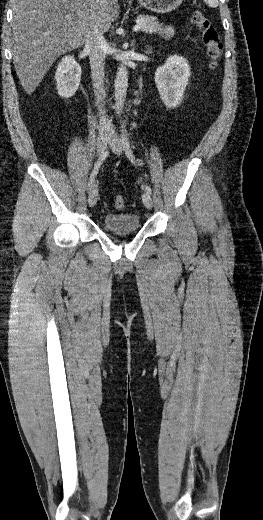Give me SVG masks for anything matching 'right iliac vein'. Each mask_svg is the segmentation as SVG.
Masks as SVG:
<instances>
[{
	"instance_id": "1",
	"label": "right iliac vein",
	"mask_w": 263,
	"mask_h": 520,
	"mask_svg": "<svg viewBox=\"0 0 263 520\" xmlns=\"http://www.w3.org/2000/svg\"><path fill=\"white\" fill-rule=\"evenodd\" d=\"M108 139H109V133L102 131L99 134L98 139H97V151H98L99 155H102L105 152ZM97 200H98V187L96 184H94L93 187L91 188V191L88 196L89 206L94 207L97 203Z\"/></svg>"
}]
</instances>
